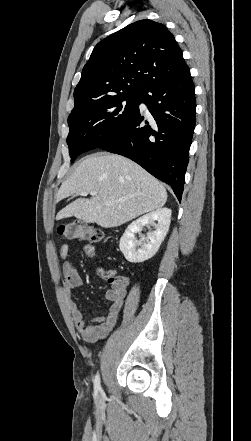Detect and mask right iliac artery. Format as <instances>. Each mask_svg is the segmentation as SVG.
I'll list each match as a JSON object with an SVG mask.
<instances>
[{"label": "right iliac artery", "instance_id": "82829eb1", "mask_svg": "<svg viewBox=\"0 0 251 441\" xmlns=\"http://www.w3.org/2000/svg\"><path fill=\"white\" fill-rule=\"evenodd\" d=\"M94 389H95V392H98L100 390V375H99V373H97L94 378Z\"/></svg>", "mask_w": 251, "mask_h": 441}]
</instances>
